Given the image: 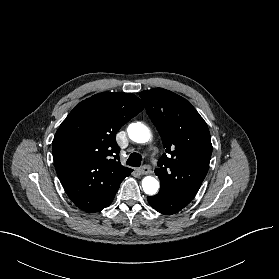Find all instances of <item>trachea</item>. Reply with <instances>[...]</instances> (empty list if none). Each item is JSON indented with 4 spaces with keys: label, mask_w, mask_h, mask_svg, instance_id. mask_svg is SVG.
<instances>
[{
    "label": "trachea",
    "mask_w": 279,
    "mask_h": 279,
    "mask_svg": "<svg viewBox=\"0 0 279 279\" xmlns=\"http://www.w3.org/2000/svg\"><path fill=\"white\" fill-rule=\"evenodd\" d=\"M141 161L142 157L139 153H132L127 160V164L133 167H140Z\"/></svg>",
    "instance_id": "1"
}]
</instances>
